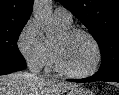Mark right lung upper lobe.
Instances as JSON below:
<instances>
[{
	"label": "right lung upper lobe",
	"mask_w": 119,
	"mask_h": 95,
	"mask_svg": "<svg viewBox=\"0 0 119 95\" xmlns=\"http://www.w3.org/2000/svg\"><path fill=\"white\" fill-rule=\"evenodd\" d=\"M34 0H0V26L27 22Z\"/></svg>",
	"instance_id": "cb5924a9"
}]
</instances>
